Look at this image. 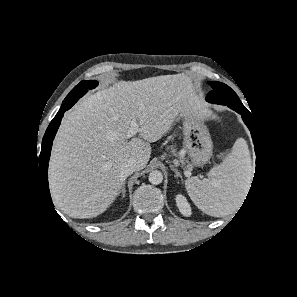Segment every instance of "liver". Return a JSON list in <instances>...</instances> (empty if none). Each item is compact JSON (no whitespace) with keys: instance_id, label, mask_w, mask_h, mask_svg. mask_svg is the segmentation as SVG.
I'll use <instances>...</instances> for the list:
<instances>
[{"instance_id":"liver-1","label":"liver","mask_w":297,"mask_h":297,"mask_svg":"<svg viewBox=\"0 0 297 297\" xmlns=\"http://www.w3.org/2000/svg\"><path fill=\"white\" fill-rule=\"evenodd\" d=\"M191 112L202 114V105L180 74L120 81L84 97L65 114L54 140L49 186L55 206L72 218L103 213L126 179L122 164L133 159L143 169L150 143ZM132 122L139 137L128 140Z\"/></svg>"}]
</instances>
